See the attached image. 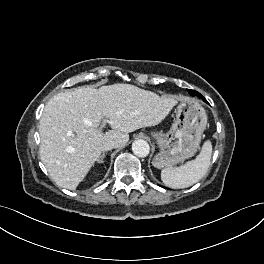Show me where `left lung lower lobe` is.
I'll list each match as a JSON object with an SVG mask.
<instances>
[{"instance_id":"0a47b994","label":"left lung lower lobe","mask_w":264,"mask_h":264,"mask_svg":"<svg viewBox=\"0 0 264 264\" xmlns=\"http://www.w3.org/2000/svg\"><path fill=\"white\" fill-rule=\"evenodd\" d=\"M189 93H190L191 95H196V96H198V97L203 98V97L201 96V94L198 93L197 91L191 90V91H189ZM203 99H204V98H203ZM204 100H205V99H204Z\"/></svg>"}]
</instances>
